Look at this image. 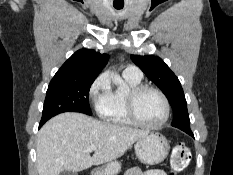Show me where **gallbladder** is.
Returning a JSON list of instances; mask_svg holds the SVG:
<instances>
[{
    "label": "gallbladder",
    "mask_w": 233,
    "mask_h": 175,
    "mask_svg": "<svg viewBox=\"0 0 233 175\" xmlns=\"http://www.w3.org/2000/svg\"><path fill=\"white\" fill-rule=\"evenodd\" d=\"M59 175H78V174L72 171H63Z\"/></svg>",
    "instance_id": "gallbladder-1"
}]
</instances>
